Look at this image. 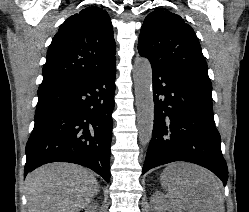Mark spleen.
<instances>
[{
    "label": "spleen",
    "instance_id": "obj_1",
    "mask_svg": "<svg viewBox=\"0 0 249 212\" xmlns=\"http://www.w3.org/2000/svg\"><path fill=\"white\" fill-rule=\"evenodd\" d=\"M170 176H171V170H170V168H166L164 174H162V176H161V182H162L166 192H168L169 196H171V198H172L173 190H172V188H169V186H168Z\"/></svg>",
    "mask_w": 249,
    "mask_h": 212
}]
</instances>
